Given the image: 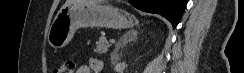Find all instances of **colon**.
I'll return each mask as SVG.
<instances>
[{"label": "colon", "instance_id": "obj_1", "mask_svg": "<svg viewBox=\"0 0 244 73\" xmlns=\"http://www.w3.org/2000/svg\"><path fill=\"white\" fill-rule=\"evenodd\" d=\"M75 69V62L72 59L65 60L62 62L57 69L55 70V73H74Z\"/></svg>", "mask_w": 244, "mask_h": 73}]
</instances>
